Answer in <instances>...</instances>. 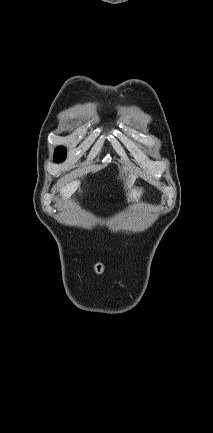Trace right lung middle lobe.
Here are the masks:
<instances>
[{
    "instance_id": "1",
    "label": "right lung middle lobe",
    "mask_w": 213,
    "mask_h": 433,
    "mask_svg": "<svg viewBox=\"0 0 213 433\" xmlns=\"http://www.w3.org/2000/svg\"><path fill=\"white\" fill-rule=\"evenodd\" d=\"M66 158V149L63 146L56 148L54 153V161L57 163L63 162Z\"/></svg>"
}]
</instances>
